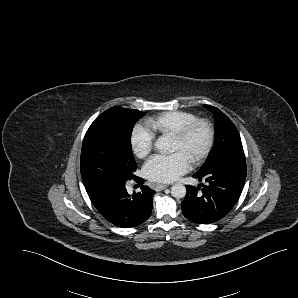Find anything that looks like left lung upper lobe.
<instances>
[{"instance_id": "1", "label": "left lung upper lobe", "mask_w": 298, "mask_h": 298, "mask_svg": "<svg viewBox=\"0 0 298 298\" xmlns=\"http://www.w3.org/2000/svg\"><path fill=\"white\" fill-rule=\"evenodd\" d=\"M215 116L216 144L201 170L208 169L236 156H244L239 132L232 121L218 108L205 105Z\"/></svg>"}]
</instances>
